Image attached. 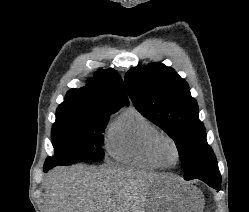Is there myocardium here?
Segmentation results:
<instances>
[{
    "label": "myocardium",
    "mask_w": 249,
    "mask_h": 212,
    "mask_svg": "<svg viewBox=\"0 0 249 212\" xmlns=\"http://www.w3.org/2000/svg\"><path fill=\"white\" fill-rule=\"evenodd\" d=\"M164 141L169 142L172 145V147L174 148L175 153H176V162L175 163L166 162L161 157L160 152H159V146ZM149 150H150V154H151L152 158L154 159V161L157 164H159L160 166L165 167V168H172V167L177 166L180 163L181 158H182L181 149H180L177 141L172 136H170L166 133H162V132L156 134L151 139L150 144H149Z\"/></svg>",
    "instance_id": "1"
}]
</instances>
